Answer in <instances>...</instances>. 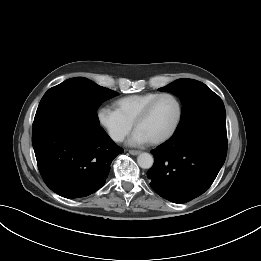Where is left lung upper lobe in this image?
Segmentation results:
<instances>
[{
	"mask_svg": "<svg viewBox=\"0 0 261 261\" xmlns=\"http://www.w3.org/2000/svg\"><path fill=\"white\" fill-rule=\"evenodd\" d=\"M159 90L176 94L182 102L181 120L174 135L196 130L215 121L226 120L223 101L200 81L178 79Z\"/></svg>",
	"mask_w": 261,
	"mask_h": 261,
	"instance_id": "1",
	"label": "left lung upper lobe"
}]
</instances>
